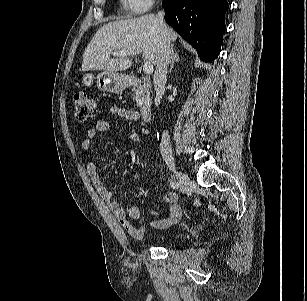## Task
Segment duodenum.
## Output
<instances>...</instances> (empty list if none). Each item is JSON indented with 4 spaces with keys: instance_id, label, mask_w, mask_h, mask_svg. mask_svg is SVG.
I'll list each match as a JSON object with an SVG mask.
<instances>
[{
    "instance_id": "410a0bca",
    "label": "duodenum",
    "mask_w": 307,
    "mask_h": 301,
    "mask_svg": "<svg viewBox=\"0 0 307 301\" xmlns=\"http://www.w3.org/2000/svg\"><path fill=\"white\" fill-rule=\"evenodd\" d=\"M130 83L133 87L140 88L142 85V80L137 76H132L130 78ZM152 109L153 106L149 101L145 99H141L139 101L138 110L142 120L147 121L150 118Z\"/></svg>"
}]
</instances>
